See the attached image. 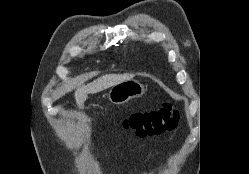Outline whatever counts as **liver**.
<instances>
[{
    "label": "liver",
    "mask_w": 249,
    "mask_h": 174,
    "mask_svg": "<svg viewBox=\"0 0 249 174\" xmlns=\"http://www.w3.org/2000/svg\"><path fill=\"white\" fill-rule=\"evenodd\" d=\"M132 74H108L104 75L93 82L79 87L75 91V99L79 106L83 104L88 94L101 92L109 87H112L120 82L131 80Z\"/></svg>",
    "instance_id": "liver-1"
}]
</instances>
